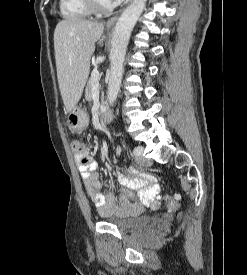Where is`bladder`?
<instances>
[{
	"instance_id": "31cf9c89",
	"label": "bladder",
	"mask_w": 247,
	"mask_h": 275,
	"mask_svg": "<svg viewBox=\"0 0 247 275\" xmlns=\"http://www.w3.org/2000/svg\"><path fill=\"white\" fill-rule=\"evenodd\" d=\"M99 217L102 222L114 225L125 231L139 226H146L153 220L152 217L145 216L137 211L123 216L99 214Z\"/></svg>"
}]
</instances>
